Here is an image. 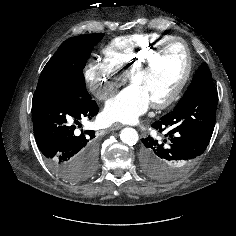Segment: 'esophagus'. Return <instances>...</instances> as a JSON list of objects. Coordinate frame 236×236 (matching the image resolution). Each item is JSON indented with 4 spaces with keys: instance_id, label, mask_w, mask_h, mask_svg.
<instances>
[{
    "instance_id": "34e87169",
    "label": "esophagus",
    "mask_w": 236,
    "mask_h": 236,
    "mask_svg": "<svg viewBox=\"0 0 236 236\" xmlns=\"http://www.w3.org/2000/svg\"><path fill=\"white\" fill-rule=\"evenodd\" d=\"M122 127H123L122 124H120V123H114V124H112V125L110 126L109 130H110V131H115V130L121 129Z\"/></svg>"
}]
</instances>
